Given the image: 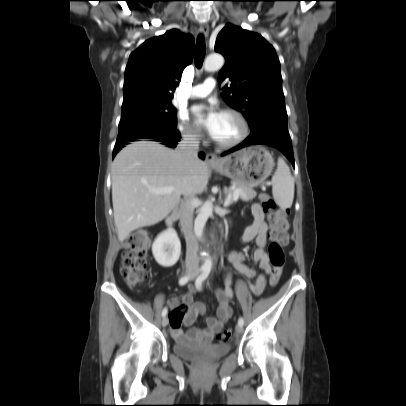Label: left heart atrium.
<instances>
[{
  "label": "left heart atrium",
  "instance_id": "obj_1",
  "mask_svg": "<svg viewBox=\"0 0 406 406\" xmlns=\"http://www.w3.org/2000/svg\"><path fill=\"white\" fill-rule=\"evenodd\" d=\"M192 114L198 123L211 135L216 131L221 113L213 106L195 105Z\"/></svg>",
  "mask_w": 406,
  "mask_h": 406
}]
</instances>
